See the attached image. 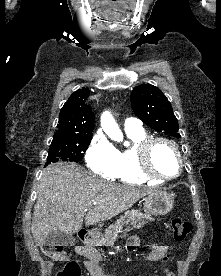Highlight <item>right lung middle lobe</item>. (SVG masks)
I'll return each mask as SVG.
<instances>
[{
  "instance_id": "right-lung-middle-lobe-1",
  "label": "right lung middle lobe",
  "mask_w": 221,
  "mask_h": 276,
  "mask_svg": "<svg viewBox=\"0 0 221 276\" xmlns=\"http://www.w3.org/2000/svg\"><path fill=\"white\" fill-rule=\"evenodd\" d=\"M91 139L92 137H80L68 140H53L46 165L58 161L79 162L83 158Z\"/></svg>"
}]
</instances>
